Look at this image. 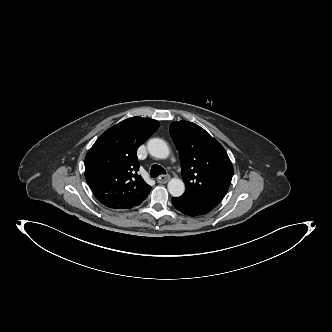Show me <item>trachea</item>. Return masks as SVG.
<instances>
[{"label":"trachea","mask_w":332,"mask_h":332,"mask_svg":"<svg viewBox=\"0 0 332 332\" xmlns=\"http://www.w3.org/2000/svg\"><path fill=\"white\" fill-rule=\"evenodd\" d=\"M161 174H166V171L163 167H161L160 165H157V164H154L151 166L150 175L152 178H156Z\"/></svg>","instance_id":"obj_1"}]
</instances>
